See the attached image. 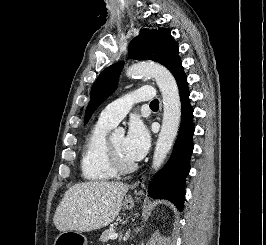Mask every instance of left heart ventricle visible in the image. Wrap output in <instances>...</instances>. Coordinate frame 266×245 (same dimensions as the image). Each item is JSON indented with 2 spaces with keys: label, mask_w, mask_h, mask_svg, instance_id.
I'll list each match as a JSON object with an SVG mask.
<instances>
[{
  "label": "left heart ventricle",
  "mask_w": 266,
  "mask_h": 245,
  "mask_svg": "<svg viewBox=\"0 0 266 245\" xmlns=\"http://www.w3.org/2000/svg\"><path fill=\"white\" fill-rule=\"evenodd\" d=\"M123 141H124L123 136H115L112 139H110L112 149L115 155L117 156L118 160L120 161V163L123 165H130L132 164V162L128 159V157L124 153Z\"/></svg>",
  "instance_id": "obj_1"
}]
</instances>
